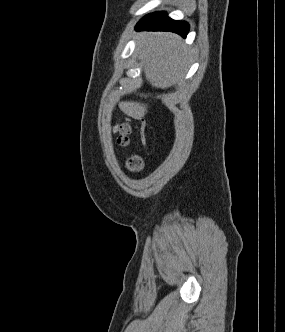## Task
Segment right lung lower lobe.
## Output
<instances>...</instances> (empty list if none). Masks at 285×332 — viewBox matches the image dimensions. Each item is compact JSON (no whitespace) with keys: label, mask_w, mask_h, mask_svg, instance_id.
<instances>
[{"label":"right lung lower lobe","mask_w":285,"mask_h":332,"mask_svg":"<svg viewBox=\"0 0 285 332\" xmlns=\"http://www.w3.org/2000/svg\"><path fill=\"white\" fill-rule=\"evenodd\" d=\"M135 29L137 31H171L185 38L189 31V25L184 21L172 20L165 12H155L143 17Z\"/></svg>","instance_id":"right-lung-lower-lobe-1"}]
</instances>
